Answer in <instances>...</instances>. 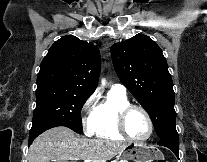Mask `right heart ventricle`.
Listing matches in <instances>:
<instances>
[{
    "mask_svg": "<svg viewBox=\"0 0 207 162\" xmlns=\"http://www.w3.org/2000/svg\"><path fill=\"white\" fill-rule=\"evenodd\" d=\"M129 104L126 94H118L110 90L107 98L100 102L94 112L93 134L100 139L124 140L116 127L118 111Z\"/></svg>",
    "mask_w": 207,
    "mask_h": 162,
    "instance_id": "1",
    "label": "right heart ventricle"
}]
</instances>
